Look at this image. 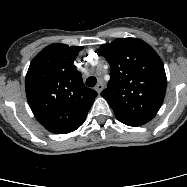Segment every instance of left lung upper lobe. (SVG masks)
<instances>
[{"label":"left lung upper lobe","instance_id":"1","mask_svg":"<svg viewBox=\"0 0 187 187\" xmlns=\"http://www.w3.org/2000/svg\"><path fill=\"white\" fill-rule=\"evenodd\" d=\"M111 66L110 81L101 92L116 118L128 126L149 122L166 91L164 65L155 50L137 38H119L100 46Z\"/></svg>","mask_w":187,"mask_h":187}]
</instances>
